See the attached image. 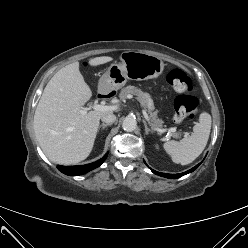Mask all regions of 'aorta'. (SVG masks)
Masks as SVG:
<instances>
[{
  "instance_id": "aorta-1",
  "label": "aorta",
  "mask_w": 248,
  "mask_h": 248,
  "mask_svg": "<svg viewBox=\"0 0 248 248\" xmlns=\"http://www.w3.org/2000/svg\"><path fill=\"white\" fill-rule=\"evenodd\" d=\"M137 127V121L134 117L128 116L122 122V128L125 131L132 132Z\"/></svg>"
}]
</instances>
